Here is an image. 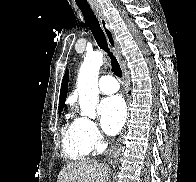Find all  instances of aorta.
I'll return each mask as SVG.
<instances>
[{
	"label": "aorta",
	"mask_w": 196,
	"mask_h": 182,
	"mask_svg": "<svg viewBox=\"0 0 196 182\" xmlns=\"http://www.w3.org/2000/svg\"><path fill=\"white\" fill-rule=\"evenodd\" d=\"M103 63V54L99 51L87 54L81 65L77 90L81 116L96 118V107L99 99L98 74Z\"/></svg>",
	"instance_id": "obj_1"
}]
</instances>
